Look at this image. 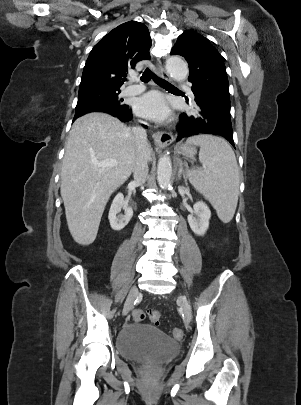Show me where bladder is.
<instances>
[{"instance_id":"obj_1","label":"bladder","mask_w":301,"mask_h":405,"mask_svg":"<svg viewBox=\"0 0 301 405\" xmlns=\"http://www.w3.org/2000/svg\"><path fill=\"white\" fill-rule=\"evenodd\" d=\"M119 354L130 360L151 359L165 363L174 358L178 351L177 342L159 329L140 323L124 326L116 338Z\"/></svg>"}]
</instances>
